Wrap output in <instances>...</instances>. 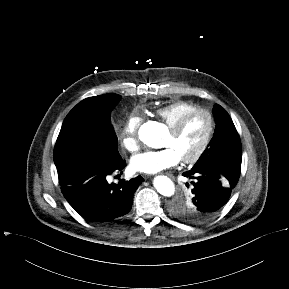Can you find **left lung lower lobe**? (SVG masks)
I'll list each match as a JSON object with an SVG mask.
<instances>
[{
  "instance_id": "0a47b994",
  "label": "left lung lower lobe",
  "mask_w": 289,
  "mask_h": 289,
  "mask_svg": "<svg viewBox=\"0 0 289 289\" xmlns=\"http://www.w3.org/2000/svg\"><path fill=\"white\" fill-rule=\"evenodd\" d=\"M241 166L191 169L183 175L192 179L190 203L202 222L215 216L228 201L240 176Z\"/></svg>"
}]
</instances>
